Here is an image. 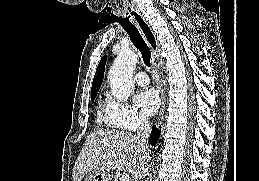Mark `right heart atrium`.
Wrapping results in <instances>:
<instances>
[{
  "instance_id": "1",
  "label": "right heart atrium",
  "mask_w": 259,
  "mask_h": 181,
  "mask_svg": "<svg viewBox=\"0 0 259 181\" xmlns=\"http://www.w3.org/2000/svg\"><path fill=\"white\" fill-rule=\"evenodd\" d=\"M108 122L116 128L135 131L148 123V117L128 104L108 97L105 101Z\"/></svg>"
}]
</instances>
